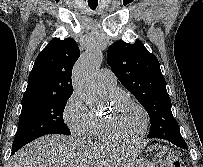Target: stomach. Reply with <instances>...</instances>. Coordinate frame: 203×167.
<instances>
[{"instance_id": "1", "label": "stomach", "mask_w": 203, "mask_h": 167, "mask_svg": "<svg viewBox=\"0 0 203 167\" xmlns=\"http://www.w3.org/2000/svg\"><path fill=\"white\" fill-rule=\"evenodd\" d=\"M130 167H154V165L146 159H135Z\"/></svg>"}]
</instances>
